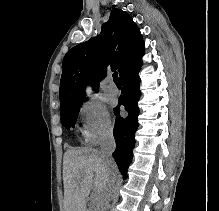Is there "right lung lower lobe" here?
I'll list each match as a JSON object with an SVG mask.
<instances>
[{"label":"right lung lower lobe","instance_id":"right-lung-lower-lobe-1","mask_svg":"<svg viewBox=\"0 0 219 211\" xmlns=\"http://www.w3.org/2000/svg\"><path fill=\"white\" fill-rule=\"evenodd\" d=\"M142 62L129 70L120 78L123 84L119 104L115 108L116 122L114 127V138L116 141V150L113 157L119 167L120 172L125 179L128 166L133 157V148L135 144L134 134L138 128L139 108L137 102L140 97V78L138 72ZM120 105L125 107L128 116H120Z\"/></svg>","mask_w":219,"mask_h":211}]
</instances>
